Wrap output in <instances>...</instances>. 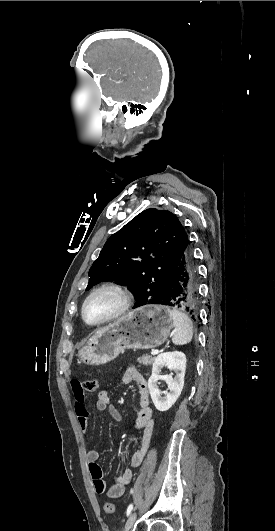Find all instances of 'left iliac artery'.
Listing matches in <instances>:
<instances>
[{"label": "left iliac artery", "instance_id": "44dca946", "mask_svg": "<svg viewBox=\"0 0 275 531\" xmlns=\"http://www.w3.org/2000/svg\"><path fill=\"white\" fill-rule=\"evenodd\" d=\"M132 510H133V504H130V505L128 506V508H127V512H126L127 516L130 515V513L132 512Z\"/></svg>", "mask_w": 275, "mask_h": 531}]
</instances>
